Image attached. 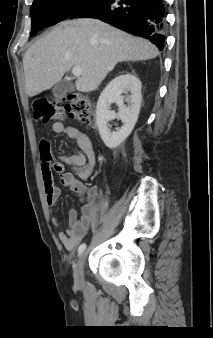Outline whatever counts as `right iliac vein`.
I'll return each mask as SVG.
<instances>
[{
	"mask_svg": "<svg viewBox=\"0 0 213 338\" xmlns=\"http://www.w3.org/2000/svg\"><path fill=\"white\" fill-rule=\"evenodd\" d=\"M85 257L86 253H83L74 268V280L78 285L82 284L83 282Z\"/></svg>",
	"mask_w": 213,
	"mask_h": 338,
	"instance_id": "obj_1",
	"label": "right iliac vein"
}]
</instances>
